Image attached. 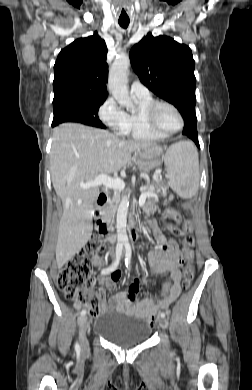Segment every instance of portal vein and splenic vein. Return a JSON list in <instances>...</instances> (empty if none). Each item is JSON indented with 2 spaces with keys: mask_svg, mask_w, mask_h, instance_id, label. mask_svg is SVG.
Wrapping results in <instances>:
<instances>
[{
  "mask_svg": "<svg viewBox=\"0 0 252 390\" xmlns=\"http://www.w3.org/2000/svg\"><path fill=\"white\" fill-rule=\"evenodd\" d=\"M104 185L106 188H112L116 190H122L125 187V183L120 178H110L109 176L105 174H99L94 180L81 183L80 186L84 189H87L89 187H97ZM145 187H141L140 191L142 192L140 198H139V205L142 206L145 203L146 197L148 196L147 193L144 192Z\"/></svg>",
  "mask_w": 252,
  "mask_h": 390,
  "instance_id": "obj_1",
  "label": "portal vein and splenic vein"
}]
</instances>
